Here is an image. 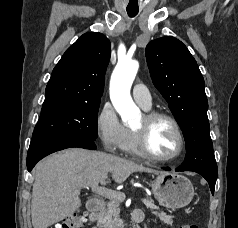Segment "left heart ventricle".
Here are the masks:
<instances>
[{"label":"left heart ventricle","mask_w":238,"mask_h":228,"mask_svg":"<svg viewBox=\"0 0 238 228\" xmlns=\"http://www.w3.org/2000/svg\"><path fill=\"white\" fill-rule=\"evenodd\" d=\"M144 125L145 120L142 116L134 128L141 129ZM147 139L150 150L159 157H170L178 149V138L175 130L166 120L154 122L148 129Z\"/></svg>","instance_id":"b2bd125f"}]
</instances>
